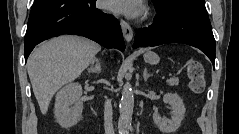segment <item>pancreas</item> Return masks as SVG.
<instances>
[{
	"label": "pancreas",
	"mask_w": 239,
	"mask_h": 134,
	"mask_svg": "<svg viewBox=\"0 0 239 134\" xmlns=\"http://www.w3.org/2000/svg\"><path fill=\"white\" fill-rule=\"evenodd\" d=\"M166 83H167L169 86H172V87L178 86V84H179V79L176 78V77H172V78L167 79V80H166Z\"/></svg>",
	"instance_id": "pancreas-1"
}]
</instances>
